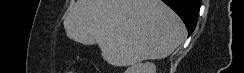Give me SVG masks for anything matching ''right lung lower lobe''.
Segmentation results:
<instances>
[{
  "mask_svg": "<svg viewBox=\"0 0 244 73\" xmlns=\"http://www.w3.org/2000/svg\"><path fill=\"white\" fill-rule=\"evenodd\" d=\"M172 8L183 20L188 36L194 31L200 8V0H162Z\"/></svg>",
  "mask_w": 244,
  "mask_h": 73,
  "instance_id": "obj_1",
  "label": "right lung lower lobe"
}]
</instances>
